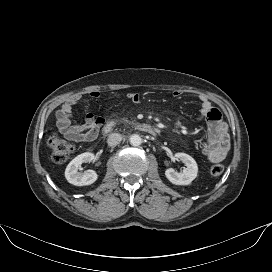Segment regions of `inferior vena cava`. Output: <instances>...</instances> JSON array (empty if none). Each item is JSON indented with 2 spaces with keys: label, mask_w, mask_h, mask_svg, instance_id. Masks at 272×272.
Segmentation results:
<instances>
[{
  "label": "inferior vena cava",
  "mask_w": 272,
  "mask_h": 272,
  "mask_svg": "<svg viewBox=\"0 0 272 272\" xmlns=\"http://www.w3.org/2000/svg\"><path fill=\"white\" fill-rule=\"evenodd\" d=\"M122 140V136L118 133H112L108 136L107 143L109 146H116Z\"/></svg>",
  "instance_id": "obj_1"
}]
</instances>
